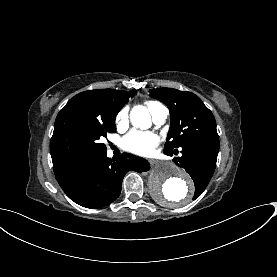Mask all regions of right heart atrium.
I'll list each match as a JSON object with an SVG mask.
<instances>
[{"label":"right heart atrium","instance_id":"1","mask_svg":"<svg viewBox=\"0 0 277 277\" xmlns=\"http://www.w3.org/2000/svg\"><path fill=\"white\" fill-rule=\"evenodd\" d=\"M116 126L119 129H124L127 126V116L126 114L121 111L118 113V115L116 116Z\"/></svg>","mask_w":277,"mask_h":277}]
</instances>
